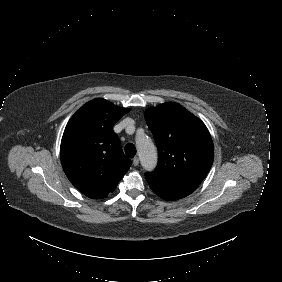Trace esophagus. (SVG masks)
Returning <instances> with one entry per match:
<instances>
[{
	"mask_svg": "<svg viewBox=\"0 0 282 282\" xmlns=\"http://www.w3.org/2000/svg\"><path fill=\"white\" fill-rule=\"evenodd\" d=\"M138 164H139V158L137 156H135L134 159H133V165L138 166Z\"/></svg>",
	"mask_w": 282,
	"mask_h": 282,
	"instance_id": "esophagus-1",
	"label": "esophagus"
}]
</instances>
